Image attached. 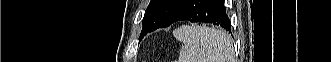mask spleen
<instances>
[{
    "label": "spleen",
    "instance_id": "1",
    "mask_svg": "<svg viewBox=\"0 0 331 62\" xmlns=\"http://www.w3.org/2000/svg\"><path fill=\"white\" fill-rule=\"evenodd\" d=\"M173 35L182 43L178 62H235L231 36L221 30L183 25Z\"/></svg>",
    "mask_w": 331,
    "mask_h": 62
}]
</instances>
